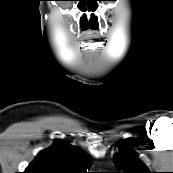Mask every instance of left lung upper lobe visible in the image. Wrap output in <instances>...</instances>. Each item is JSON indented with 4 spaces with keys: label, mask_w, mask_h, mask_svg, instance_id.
Listing matches in <instances>:
<instances>
[{
    "label": "left lung upper lobe",
    "mask_w": 173,
    "mask_h": 173,
    "mask_svg": "<svg viewBox=\"0 0 173 173\" xmlns=\"http://www.w3.org/2000/svg\"><path fill=\"white\" fill-rule=\"evenodd\" d=\"M115 165L124 171L121 173H151L129 147L117 154Z\"/></svg>",
    "instance_id": "left-lung-upper-lobe-1"
}]
</instances>
